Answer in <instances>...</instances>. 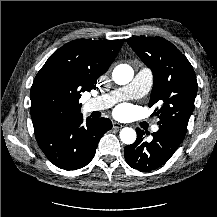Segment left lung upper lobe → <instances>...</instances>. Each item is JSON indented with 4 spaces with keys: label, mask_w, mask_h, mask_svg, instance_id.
Returning a JSON list of instances; mask_svg holds the SVG:
<instances>
[{
    "label": "left lung upper lobe",
    "mask_w": 217,
    "mask_h": 217,
    "mask_svg": "<svg viewBox=\"0 0 217 217\" xmlns=\"http://www.w3.org/2000/svg\"><path fill=\"white\" fill-rule=\"evenodd\" d=\"M127 42L152 70L154 82L149 107L161 103V108L155 110L160 118L158 125H167L186 134L198 88L192 65L164 38L135 37Z\"/></svg>",
    "instance_id": "obj_1"
}]
</instances>
